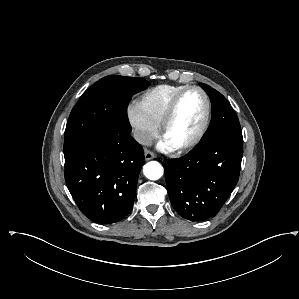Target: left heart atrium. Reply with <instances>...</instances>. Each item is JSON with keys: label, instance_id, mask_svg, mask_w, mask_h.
Listing matches in <instances>:
<instances>
[{"label": "left heart atrium", "instance_id": "1", "mask_svg": "<svg viewBox=\"0 0 299 299\" xmlns=\"http://www.w3.org/2000/svg\"><path fill=\"white\" fill-rule=\"evenodd\" d=\"M159 147L163 150H171L174 148L173 145H171L170 143H168L165 139H163L162 141H160L159 143Z\"/></svg>", "mask_w": 299, "mask_h": 299}]
</instances>
